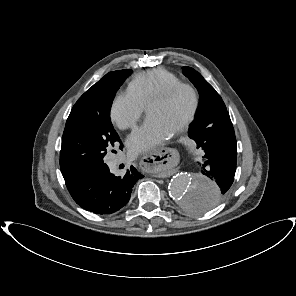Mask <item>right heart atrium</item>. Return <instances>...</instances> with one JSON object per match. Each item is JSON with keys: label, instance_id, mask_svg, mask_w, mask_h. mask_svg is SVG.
I'll list each match as a JSON object with an SVG mask.
<instances>
[{"label": "right heart atrium", "instance_id": "right-heart-atrium-1", "mask_svg": "<svg viewBox=\"0 0 296 296\" xmlns=\"http://www.w3.org/2000/svg\"><path fill=\"white\" fill-rule=\"evenodd\" d=\"M144 107L128 92H119L110 107V118L120 129L133 128L141 118Z\"/></svg>", "mask_w": 296, "mask_h": 296}]
</instances>
